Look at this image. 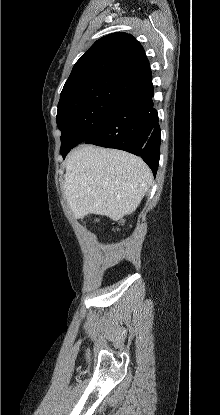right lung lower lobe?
<instances>
[{
	"label": "right lung lower lobe",
	"mask_w": 220,
	"mask_h": 415,
	"mask_svg": "<svg viewBox=\"0 0 220 415\" xmlns=\"http://www.w3.org/2000/svg\"><path fill=\"white\" fill-rule=\"evenodd\" d=\"M152 80L118 104L85 143L141 156L156 175L160 158V127L153 107ZM72 148L60 150L63 158Z\"/></svg>",
	"instance_id": "98d812e1"
}]
</instances>
